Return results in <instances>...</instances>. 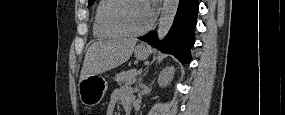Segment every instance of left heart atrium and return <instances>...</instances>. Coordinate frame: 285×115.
Segmentation results:
<instances>
[{
  "instance_id": "left-heart-atrium-1",
  "label": "left heart atrium",
  "mask_w": 285,
  "mask_h": 115,
  "mask_svg": "<svg viewBox=\"0 0 285 115\" xmlns=\"http://www.w3.org/2000/svg\"><path fill=\"white\" fill-rule=\"evenodd\" d=\"M145 12L147 17V22L151 19L152 16V10L149 6H145Z\"/></svg>"
}]
</instances>
